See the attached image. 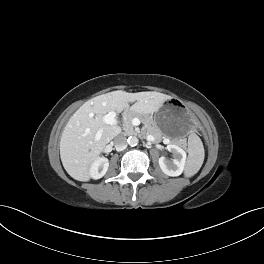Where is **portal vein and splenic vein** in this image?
<instances>
[{
  "instance_id": "1",
  "label": "portal vein and splenic vein",
  "mask_w": 264,
  "mask_h": 264,
  "mask_svg": "<svg viewBox=\"0 0 264 264\" xmlns=\"http://www.w3.org/2000/svg\"><path fill=\"white\" fill-rule=\"evenodd\" d=\"M103 121L106 124H109V125H117L118 121L116 119V112L115 111H111L108 114L104 115L103 116ZM99 137H100V134H97L96 139H99Z\"/></svg>"
}]
</instances>
